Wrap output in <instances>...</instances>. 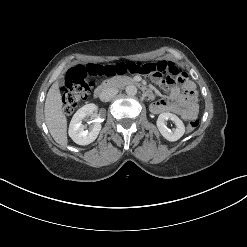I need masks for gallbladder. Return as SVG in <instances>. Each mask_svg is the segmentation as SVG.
<instances>
[{"label": "gallbladder", "instance_id": "bac80fb5", "mask_svg": "<svg viewBox=\"0 0 247 247\" xmlns=\"http://www.w3.org/2000/svg\"><path fill=\"white\" fill-rule=\"evenodd\" d=\"M59 84H60V85H63V78H61V79L59 80Z\"/></svg>", "mask_w": 247, "mask_h": 247}]
</instances>
